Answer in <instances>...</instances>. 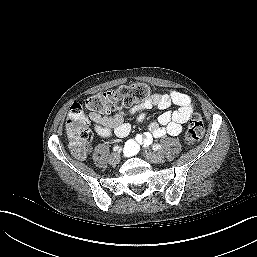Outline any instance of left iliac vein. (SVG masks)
Returning a JSON list of instances; mask_svg holds the SVG:
<instances>
[{"instance_id": "4c4485c4", "label": "left iliac vein", "mask_w": 257, "mask_h": 257, "mask_svg": "<svg viewBox=\"0 0 257 257\" xmlns=\"http://www.w3.org/2000/svg\"><path fill=\"white\" fill-rule=\"evenodd\" d=\"M144 157L153 163H161L165 159L164 155L159 152H145Z\"/></svg>"}]
</instances>
